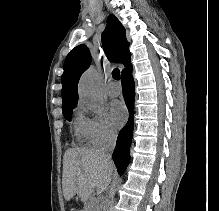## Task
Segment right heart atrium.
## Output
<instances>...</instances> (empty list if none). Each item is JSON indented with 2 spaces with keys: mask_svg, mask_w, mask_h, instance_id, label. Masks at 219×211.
I'll list each match as a JSON object with an SVG mask.
<instances>
[{
  "mask_svg": "<svg viewBox=\"0 0 219 211\" xmlns=\"http://www.w3.org/2000/svg\"><path fill=\"white\" fill-rule=\"evenodd\" d=\"M81 113L86 114L82 117L84 135L94 146H103L115 141L118 129L113 123L105 109L88 110L82 104L79 105Z\"/></svg>",
  "mask_w": 219,
  "mask_h": 211,
  "instance_id": "1",
  "label": "right heart atrium"
}]
</instances>
